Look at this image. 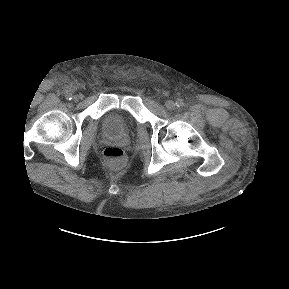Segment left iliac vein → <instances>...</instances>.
<instances>
[{"instance_id":"left-iliac-vein-1","label":"left iliac vein","mask_w":289,"mask_h":289,"mask_svg":"<svg viewBox=\"0 0 289 289\" xmlns=\"http://www.w3.org/2000/svg\"><path fill=\"white\" fill-rule=\"evenodd\" d=\"M165 107L168 109V110H173L175 108V103L174 101L172 100H167L165 102Z\"/></svg>"}]
</instances>
